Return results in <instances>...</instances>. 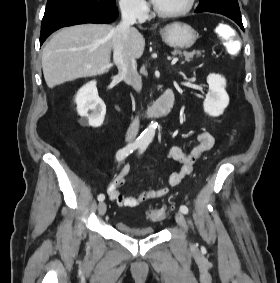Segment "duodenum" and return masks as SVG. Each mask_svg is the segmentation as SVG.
I'll return each instance as SVG.
<instances>
[{
  "mask_svg": "<svg viewBox=\"0 0 280 283\" xmlns=\"http://www.w3.org/2000/svg\"><path fill=\"white\" fill-rule=\"evenodd\" d=\"M173 105L174 92L171 89H167L161 97L145 111V114L154 119L163 118L171 112Z\"/></svg>",
  "mask_w": 280,
  "mask_h": 283,
  "instance_id": "1",
  "label": "duodenum"
}]
</instances>
